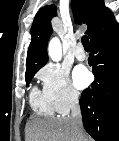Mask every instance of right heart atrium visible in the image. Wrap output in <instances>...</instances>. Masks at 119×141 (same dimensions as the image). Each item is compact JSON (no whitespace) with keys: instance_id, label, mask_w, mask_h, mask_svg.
Returning <instances> with one entry per match:
<instances>
[{"instance_id":"1","label":"right heart atrium","mask_w":119,"mask_h":141,"mask_svg":"<svg viewBox=\"0 0 119 141\" xmlns=\"http://www.w3.org/2000/svg\"><path fill=\"white\" fill-rule=\"evenodd\" d=\"M43 93L55 111L67 113L79 102V93L68 73L55 64L43 67L37 74Z\"/></svg>"}]
</instances>
